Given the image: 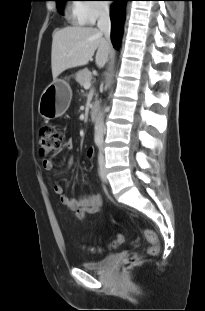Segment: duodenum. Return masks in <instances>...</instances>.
<instances>
[{
	"label": "duodenum",
	"instance_id": "duodenum-1",
	"mask_svg": "<svg viewBox=\"0 0 205 311\" xmlns=\"http://www.w3.org/2000/svg\"><path fill=\"white\" fill-rule=\"evenodd\" d=\"M99 110H100L99 103L94 102L91 105V108H90V118H91L92 121H96L97 120L98 114H99Z\"/></svg>",
	"mask_w": 205,
	"mask_h": 311
}]
</instances>
